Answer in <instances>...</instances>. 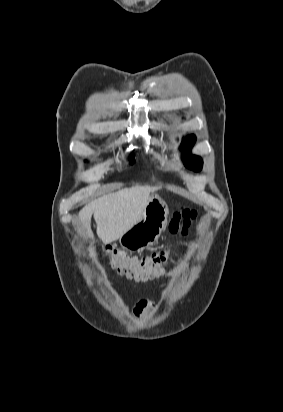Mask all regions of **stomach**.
Masks as SVG:
<instances>
[{
	"mask_svg": "<svg viewBox=\"0 0 283 412\" xmlns=\"http://www.w3.org/2000/svg\"><path fill=\"white\" fill-rule=\"evenodd\" d=\"M168 215V206L159 195L150 196L141 220L119 238L122 248L138 251L154 244L166 227Z\"/></svg>",
	"mask_w": 283,
	"mask_h": 412,
	"instance_id": "1",
	"label": "stomach"
}]
</instances>
